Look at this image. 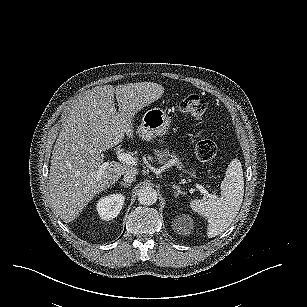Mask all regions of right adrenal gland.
<instances>
[{
    "mask_svg": "<svg viewBox=\"0 0 307 307\" xmlns=\"http://www.w3.org/2000/svg\"><path fill=\"white\" fill-rule=\"evenodd\" d=\"M120 185H122V186H124V187H126V188H128V187H130L131 186V184H127V183H125V182H120Z\"/></svg>",
    "mask_w": 307,
    "mask_h": 307,
    "instance_id": "1",
    "label": "right adrenal gland"
}]
</instances>
